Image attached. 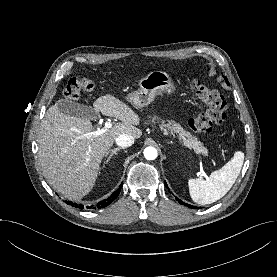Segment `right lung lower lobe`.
I'll use <instances>...</instances> for the list:
<instances>
[{
    "label": "right lung lower lobe",
    "instance_id": "98d812e1",
    "mask_svg": "<svg viewBox=\"0 0 277 277\" xmlns=\"http://www.w3.org/2000/svg\"><path fill=\"white\" fill-rule=\"evenodd\" d=\"M121 187H122V184L120 185L119 190L115 191L108 199H105V200L99 202L95 207L87 206V208H89V209H96V208L100 209V208L106 207L119 195V191H120ZM67 204H69L73 207L79 208V209H84V206L82 204H76V203H72V202H69V201H67Z\"/></svg>",
    "mask_w": 277,
    "mask_h": 277
}]
</instances>
